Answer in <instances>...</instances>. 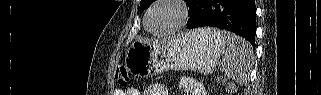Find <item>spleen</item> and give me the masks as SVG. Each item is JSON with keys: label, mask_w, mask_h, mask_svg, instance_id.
<instances>
[{"label": "spleen", "mask_w": 321, "mask_h": 95, "mask_svg": "<svg viewBox=\"0 0 321 95\" xmlns=\"http://www.w3.org/2000/svg\"><path fill=\"white\" fill-rule=\"evenodd\" d=\"M200 30L208 37L222 43L224 57L220 70L228 78L236 80L239 84H245L253 61L251 45L245 39L230 32H220L212 28Z\"/></svg>", "instance_id": "1"}]
</instances>
